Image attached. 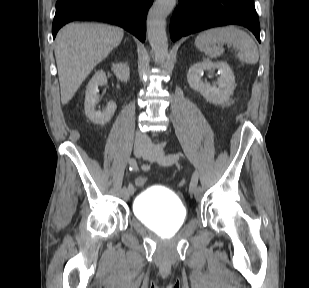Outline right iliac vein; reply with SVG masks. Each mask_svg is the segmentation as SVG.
<instances>
[{
  "mask_svg": "<svg viewBox=\"0 0 309 288\" xmlns=\"http://www.w3.org/2000/svg\"><path fill=\"white\" fill-rule=\"evenodd\" d=\"M146 154H148V149L147 148H144V147L139 146V145H135L134 146V155L137 158L144 157ZM133 193H130L129 190H127L124 195H125L126 198H128Z\"/></svg>",
  "mask_w": 309,
  "mask_h": 288,
  "instance_id": "63e3f726",
  "label": "right iliac vein"
}]
</instances>
